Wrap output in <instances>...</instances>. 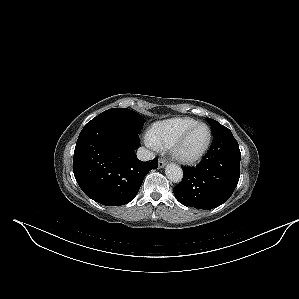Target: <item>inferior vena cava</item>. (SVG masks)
I'll return each mask as SVG.
<instances>
[{
	"label": "inferior vena cava",
	"mask_w": 299,
	"mask_h": 299,
	"mask_svg": "<svg viewBox=\"0 0 299 299\" xmlns=\"http://www.w3.org/2000/svg\"><path fill=\"white\" fill-rule=\"evenodd\" d=\"M136 154L138 159L141 161L152 160L155 157L151 151L145 149L144 147H140Z\"/></svg>",
	"instance_id": "inferior-vena-cava-1"
}]
</instances>
